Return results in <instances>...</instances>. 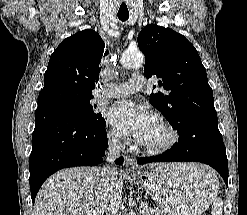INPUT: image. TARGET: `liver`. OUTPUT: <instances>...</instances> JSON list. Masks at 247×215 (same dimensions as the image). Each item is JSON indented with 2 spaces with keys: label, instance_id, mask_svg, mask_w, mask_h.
<instances>
[{
  "label": "liver",
  "instance_id": "1",
  "mask_svg": "<svg viewBox=\"0 0 247 215\" xmlns=\"http://www.w3.org/2000/svg\"><path fill=\"white\" fill-rule=\"evenodd\" d=\"M196 169V164H188L189 171ZM210 172L214 173L211 169ZM101 173V167H74L52 175L37 194L36 215H109L112 200L116 198L121 204L126 175L119 173V184L112 187Z\"/></svg>",
  "mask_w": 247,
  "mask_h": 215
}]
</instances>
